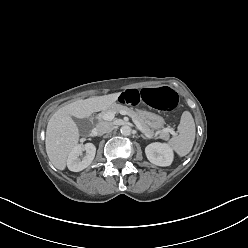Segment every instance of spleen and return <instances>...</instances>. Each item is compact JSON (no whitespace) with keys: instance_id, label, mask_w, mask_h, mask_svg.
<instances>
[{"instance_id":"spleen-1","label":"spleen","mask_w":248,"mask_h":248,"mask_svg":"<svg viewBox=\"0 0 248 248\" xmlns=\"http://www.w3.org/2000/svg\"><path fill=\"white\" fill-rule=\"evenodd\" d=\"M179 134L169 140L168 145L179 155H187L195 140V123L190 112L185 111L178 125Z\"/></svg>"}]
</instances>
